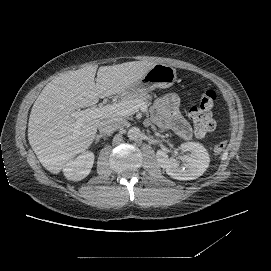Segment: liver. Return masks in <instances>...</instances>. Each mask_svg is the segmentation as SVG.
Listing matches in <instances>:
<instances>
[{"instance_id":"6515ba94","label":"liver","mask_w":271,"mask_h":271,"mask_svg":"<svg viewBox=\"0 0 271 271\" xmlns=\"http://www.w3.org/2000/svg\"><path fill=\"white\" fill-rule=\"evenodd\" d=\"M156 63L125 62L112 66H87L50 81L35 100L28 123V139L40 163L54 175L91 148L103 118L77 119L73 112L92 107L112 95L123 97ZM97 79L95 83V74Z\"/></svg>"}]
</instances>
